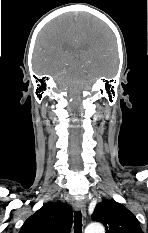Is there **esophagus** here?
I'll list each match as a JSON object with an SVG mask.
<instances>
[{"label":"esophagus","instance_id":"obj_1","mask_svg":"<svg viewBox=\"0 0 148 233\" xmlns=\"http://www.w3.org/2000/svg\"><path fill=\"white\" fill-rule=\"evenodd\" d=\"M74 207L76 210L81 211L84 216H86V207L84 202L82 201H76L74 203Z\"/></svg>","mask_w":148,"mask_h":233}]
</instances>
